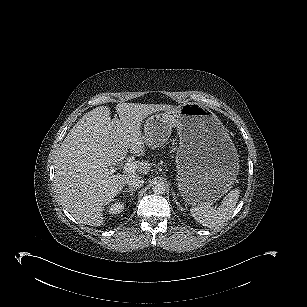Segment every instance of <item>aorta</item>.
I'll list each match as a JSON object with an SVG mask.
<instances>
[{
    "instance_id": "1",
    "label": "aorta",
    "mask_w": 307,
    "mask_h": 307,
    "mask_svg": "<svg viewBox=\"0 0 307 307\" xmlns=\"http://www.w3.org/2000/svg\"><path fill=\"white\" fill-rule=\"evenodd\" d=\"M152 191L155 194H164L166 191V184L163 181L156 180L152 184Z\"/></svg>"
}]
</instances>
